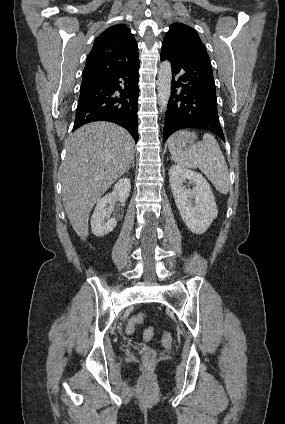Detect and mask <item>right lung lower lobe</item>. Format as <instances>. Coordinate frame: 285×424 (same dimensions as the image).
Wrapping results in <instances>:
<instances>
[{"label": "right lung lower lobe", "mask_w": 285, "mask_h": 424, "mask_svg": "<svg viewBox=\"0 0 285 424\" xmlns=\"http://www.w3.org/2000/svg\"><path fill=\"white\" fill-rule=\"evenodd\" d=\"M139 66L82 81L73 131L89 122L109 121L124 127L137 143Z\"/></svg>", "instance_id": "right-lung-lower-lobe-1"}]
</instances>
